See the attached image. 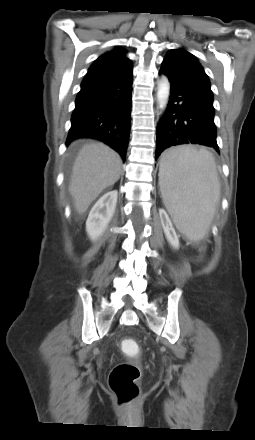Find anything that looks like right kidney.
<instances>
[{
    "label": "right kidney",
    "mask_w": 255,
    "mask_h": 440,
    "mask_svg": "<svg viewBox=\"0 0 255 440\" xmlns=\"http://www.w3.org/2000/svg\"><path fill=\"white\" fill-rule=\"evenodd\" d=\"M117 190L105 193L92 207L86 221V232L92 241H96L106 230L116 208Z\"/></svg>",
    "instance_id": "ca27d5eb"
}]
</instances>
